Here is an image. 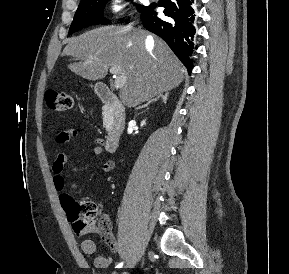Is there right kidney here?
<instances>
[{"instance_id":"ca27d5eb","label":"right kidney","mask_w":289,"mask_h":274,"mask_svg":"<svg viewBox=\"0 0 289 274\" xmlns=\"http://www.w3.org/2000/svg\"><path fill=\"white\" fill-rule=\"evenodd\" d=\"M145 124V121H143L142 123H141V126H143Z\"/></svg>"}]
</instances>
